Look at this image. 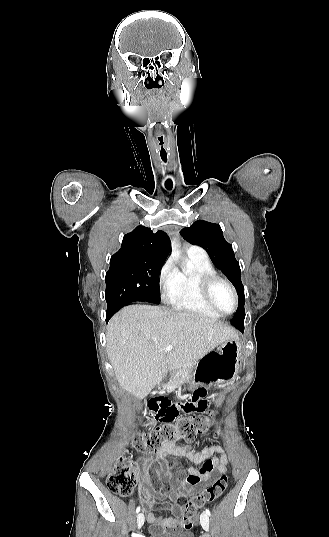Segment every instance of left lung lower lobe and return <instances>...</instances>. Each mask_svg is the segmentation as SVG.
Wrapping results in <instances>:
<instances>
[{"instance_id": "obj_1", "label": "left lung lower lobe", "mask_w": 329, "mask_h": 537, "mask_svg": "<svg viewBox=\"0 0 329 537\" xmlns=\"http://www.w3.org/2000/svg\"><path fill=\"white\" fill-rule=\"evenodd\" d=\"M241 331L243 332V331H244V328H243V329H241Z\"/></svg>"}]
</instances>
